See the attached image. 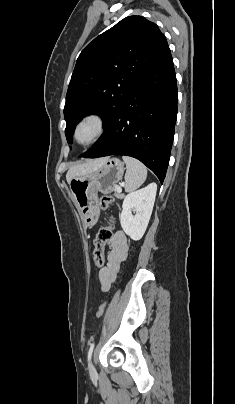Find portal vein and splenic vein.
Returning a JSON list of instances; mask_svg holds the SVG:
<instances>
[{"label": "portal vein and splenic vein", "instance_id": "obj_1", "mask_svg": "<svg viewBox=\"0 0 235 404\" xmlns=\"http://www.w3.org/2000/svg\"><path fill=\"white\" fill-rule=\"evenodd\" d=\"M116 190H117V192H121L122 191L121 186H118Z\"/></svg>", "mask_w": 235, "mask_h": 404}]
</instances>
